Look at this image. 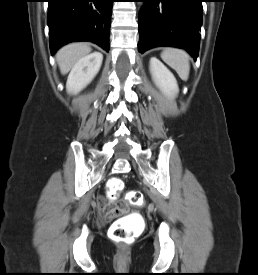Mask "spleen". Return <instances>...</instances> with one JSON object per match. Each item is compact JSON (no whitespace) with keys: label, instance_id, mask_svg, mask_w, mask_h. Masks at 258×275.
<instances>
[{"label":"spleen","instance_id":"spleen-1","mask_svg":"<svg viewBox=\"0 0 258 275\" xmlns=\"http://www.w3.org/2000/svg\"><path fill=\"white\" fill-rule=\"evenodd\" d=\"M161 57L177 72L182 80L187 81L189 77L190 64L189 55L186 51L177 48H167L161 53Z\"/></svg>","mask_w":258,"mask_h":275}]
</instances>
